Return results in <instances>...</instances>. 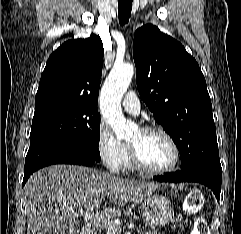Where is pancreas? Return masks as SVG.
<instances>
[{"label": "pancreas", "mask_w": 241, "mask_h": 234, "mask_svg": "<svg viewBox=\"0 0 241 234\" xmlns=\"http://www.w3.org/2000/svg\"><path fill=\"white\" fill-rule=\"evenodd\" d=\"M120 229L117 230H108L107 234H119ZM145 234H157L156 231H147Z\"/></svg>", "instance_id": "cf45deb5"}]
</instances>
